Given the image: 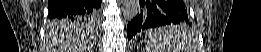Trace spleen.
I'll list each match as a JSON object with an SVG mask.
<instances>
[{
  "mask_svg": "<svg viewBox=\"0 0 261 52\" xmlns=\"http://www.w3.org/2000/svg\"><path fill=\"white\" fill-rule=\"evenodd\" d=\"M147 39L149 52H183L188 49L192 40L182 25H171L151 30Z\"/></svg>",
  "mask_w": 261,
  "mask_h": 52,
  "instance_id": "obj_1",
  "label": "spleen"
}]
</instances>
